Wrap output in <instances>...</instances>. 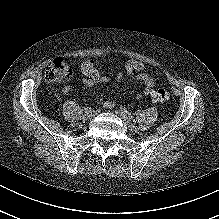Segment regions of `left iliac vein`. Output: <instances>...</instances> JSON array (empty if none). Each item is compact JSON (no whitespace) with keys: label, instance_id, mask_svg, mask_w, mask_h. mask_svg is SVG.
Here are the masks:
<instances>
[{"label":"left iliac vein","instance_id":"4c4485c4","mask_svg":"<svg viewBox=\"0 0 219 219\" xmlns=\"http://www.w3.org/2000/svg\"><path fill=\"white\" fill-rule=\"evenodd\" d=\"M117 115L128 127H132L134 125V121L132 120V118L126 116L122 110H119L117 112Z\"/></svg>","mask_w":219,"mask_h":219}]
</instances>
